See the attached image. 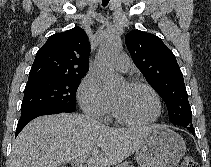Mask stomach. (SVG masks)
Masks as SVG:
<instances>
[{"label": "stomach", "instance_id": "1", "mask_svg": "<svg viewBox=\"0 0 211 167\" xmlns=\"http://www.w3.org/2000/svg\"><path fill=\"white\" fill-rule=\"evenodd\" d=\"M186 152L185 141L164 126H154L136 151L139 167H175Z\"/></svg>", "mask_w": 211, "mask_h": 167}]
</instances>
